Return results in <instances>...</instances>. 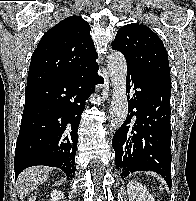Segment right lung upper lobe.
I'll list each match as a JSON object with an SVG mask.
<instances>
[{"instance_id": "obj_1", "label": "right lung upper lobe", "mask_w": 196, "mask_h": 201, "mask_svg": "<svg viewBox=\"0 0 196 201\" xmlns=\"http://www.w3.org/2000/svg\"><path fill=\"white\" fill-rule=\"evenodd\" d=\"M98 54L90 26L80 16H70L48 30L35 49L27 86L64 78L96 63Z\"/></svg>"}]
</instances>
